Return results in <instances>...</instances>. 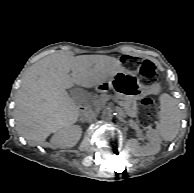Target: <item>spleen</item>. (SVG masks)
<instances>
[{"instance_id": "obj_1", "label": "spleen", "mask_w": 194, "mask_h": 193, "mask_svg": "<svg viewBox=\"0 0 194 193\" xmlns=\"http://www.w3.org/2000/svg\"><path fill=\"white\" fill-rule=\"evenodd\" d=\"M180 111L177 101L168 94L160 96V120L157 131L165 141L176 138L180 128Z\"/></svg>"}]
</instances>
